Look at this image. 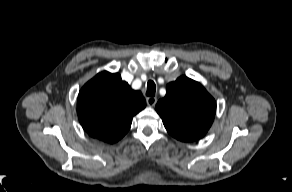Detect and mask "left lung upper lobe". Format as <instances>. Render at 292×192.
Listing matches in <instances>:
<instances>
[{
	"mask_svg": "<svg viewBox=\"0 0 292 192\" xmlns=\"http://www.w3.org/2000/svg\"><path fill=\"white\" fill-rule=\"evenodd\" d=\"M166 91L156 111L168 133L185 142L202 138L214 120V98L200 83L186 76L169 83Z\"/></svg>",
	"mask_w": 292,
	"mask_h": 192,
	"instance_id": "5c2ea615",
	"label": "left lung upper lobe"
}]
</instances>
